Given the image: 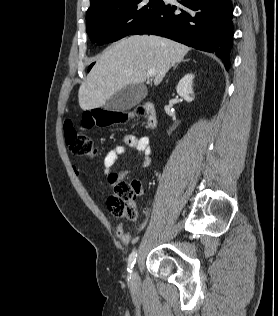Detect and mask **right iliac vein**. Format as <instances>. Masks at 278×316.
<instances>
[{"label":"right iliac vein","instance_id":"obj_1","mask_svg":"<svg viewBox=\"0 0 278 316\" xmlns=\"http://www.w3.org/2000/svg\"><path fill=\"white\" fill-rule=\"evenodd\" d=\"M138 274L137 271L134 269V271L132 272V274L130 275V283L132 286H137L138 284Z\"/></svg>","mask_w":278,"mask_h":316}]
</instances>
